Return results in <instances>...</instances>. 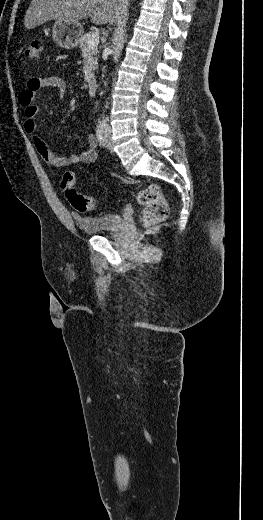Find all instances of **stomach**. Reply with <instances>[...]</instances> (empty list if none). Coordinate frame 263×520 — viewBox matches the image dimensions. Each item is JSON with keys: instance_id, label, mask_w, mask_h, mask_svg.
Segmentation results:
<instances>
[{"instance_id": "obj_1", "label": "stomach", "mask_w": 263, "mask_h": 520, "mask_svg": "<svg viewBox=\"0 0 263 520\" xmlns=\"http://www.w3.org/2000/svg\"><path fill=\"white\" fill-rule=\"evenodd\" d=\"M54 41L64 49L77 47L80 37L83 35V27L78 22L56 20L52 27Z\"/></svg>"}]
</instances>
